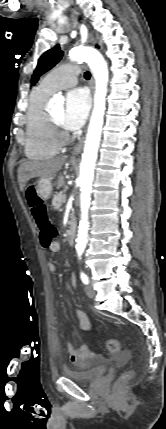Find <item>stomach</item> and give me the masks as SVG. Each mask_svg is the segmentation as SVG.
Wrapping results in <instances>:
<instances>
[{"mask_svg":"<svg viewBox=\"0 0 166 429\" xmlns=\"http://www.w3.org/2000/svg\"><path fill=\"white\" fill-rule=\"evenodd\" d=\"M37 196L42 200H48L52 194L51 177L40 178L35 186Z\"/></svg>","mask_w":166,"mask_h":429,"instance_id":"0dacf381","label":"stomach"}]
</instances>
